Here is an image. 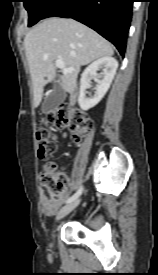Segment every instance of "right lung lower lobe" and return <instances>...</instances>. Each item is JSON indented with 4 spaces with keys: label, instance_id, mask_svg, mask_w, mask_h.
<instances>
[{
    "label": "right lung lower lobe",
    "instance_id": "obj_1",
    "mask_svg": "<svg viewBox=\"0 0 158 275\" xmlns=\"http://www.w3.org/2000/svg\"><path fill=\"white\" fill-rule=\"evenodd\" d=\"M134 0H57L44 18H73L112 42L123 56Z\"/></svg>",
    "mask_w": 158,
    "mask_h": 275
}]
</instances>
